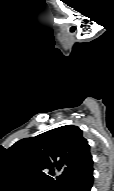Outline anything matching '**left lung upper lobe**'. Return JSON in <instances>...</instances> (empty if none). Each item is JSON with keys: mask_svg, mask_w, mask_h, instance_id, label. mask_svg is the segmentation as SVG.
<instances>
[{"mask_svg": "<svg viewBox=\"0 0 114 191\" xmlns=\"http://www.w3.org/2000/svg\"><path fill=\"white\" fill-rule=\"evenodd\" d=\"M89 149L82 130L66 125L21 139L8 151L16 163L60 190L92 157Z\"/></svg>", "mask_w": 114, "mask_h": 191, "instance_id": "5c2ea615", "label": "left lung upper lobe"}]
</instances>
